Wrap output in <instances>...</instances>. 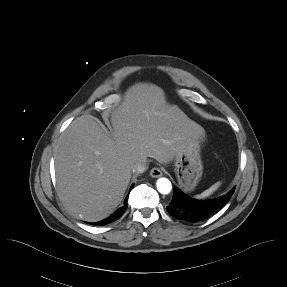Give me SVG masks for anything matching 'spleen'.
<instances>
[{"label": "spleen", "instance_id": "obj_1", "mask_svg": "<svg viewBox=\"0 0 287 287\" xmlns=\"http://www.w3.org/2000/svg\"><path fill=\"white\" fill-rule=\"evenodd\" d=\"M220 182H216L214 185H212L209 189L205 190L204 192H202L199 195H196L195 197L200 199V198H204V197H208L209 195H211L214 191H216L218 189V187L220 186Z\"/></svg>", "mask_w": 287, "mask_h": 287}]
</instances>
